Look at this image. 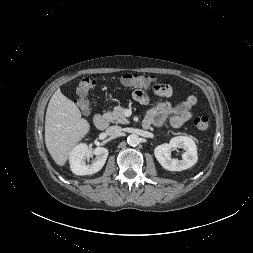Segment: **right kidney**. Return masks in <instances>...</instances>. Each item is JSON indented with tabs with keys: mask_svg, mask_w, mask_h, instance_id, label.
I'll use <instances>...</instances> for the list:
<instances>
[{
	"mask_svg": "<svg viewBox=\"0 0 253 253\" xmlns=\"http://www.w3.org/2000/svg\"><path fill=\"white\" fill-rule=\"evenodd\" d=\"M95 155L92 164H86L85 160ZM108 157V150L104 147H97L89 150L86 144H79L74 147L69 157L71 171L79 176L92 175L102 169Z\"/></svg>",
	"mask_w": 253,
	"mask_h": 253,
	"instance_id": "right-kidney-1",
	"label": "right kidney"
}]
</instances>
